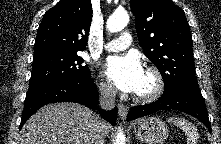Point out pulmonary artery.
<instances>
[{
	"label": "pulmonary artery",
	"instance_id": "e3ab8cb5",
	"mask_svg": "<svg viewBox=\"0 0 221 144\" xmlns=\"http://www.w3.org/2000/svg\"><path fill=\"white\" fill-rule=\"evenodd\" d=\"M132 37L128 32H122L120 36L104 45L107 51L117 52L128 48L131 45Z\"/></svg>",
	"mask_w": 221,
	"mask_h": 144
}]
</instances>
